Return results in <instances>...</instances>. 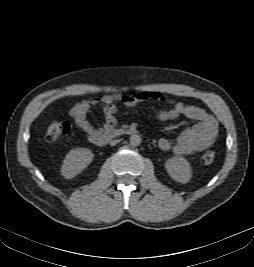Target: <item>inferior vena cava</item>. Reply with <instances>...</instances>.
I'll return each mask as SVG.
<instances>
[{
  "instance_id": "602c4592",
  "label": "inferior vena cava",
  "mask_w": 254,
  "mask_h": 267,
  "mask_svg": "<svg viewBox=\"0 0 254 267\" xmlns=\"http://www.w3.org/2000/svg\"><path fill=\"white\" fill-rule=\"evenodd\" d=\"M118 142H119V140H117V139H116V140H113V141L110 142V145H111V146H114V145H116Z\"/></svg>"
}]
</instances>
